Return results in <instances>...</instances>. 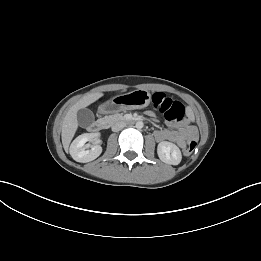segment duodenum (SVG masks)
Masks as SVG:
<instances>
[{
  "mask_svg": "<svg viewBox=\"0 0 261 261\" xmlns=\"http://www.w3.org/2000/svg\"><path fill=\"white\" fill-rule=\"evenodd\" d=\"M108 108H110V107H108ZM137 121L138 120L135 119V118H128L127 119V122H129V123H135ZM107 126H108V123L105 119H99L95 122L93 128H94V130H103V129L107 128Z\"/></svg>",
  "mask_w": 261,
  "mask_h": 261,
  "instance_id": "obj_1",
  "label": "duodenum"
}]
</instances>
